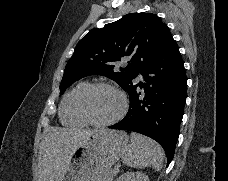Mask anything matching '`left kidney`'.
<instances>
[{"label":"left kidney","instance_id":"obj_1","mask_svg":"<svg viewBox=\"0 0 228 181\" xmlns=\"http://www.w3.org/2000/svg\"><path fill=\"white\" fill-rule=\"evenodd\" d=\"M117 181H149V177L145 173H124Z\"/></svg>","mask_w":228,"mask_h":181}]
</instances>
